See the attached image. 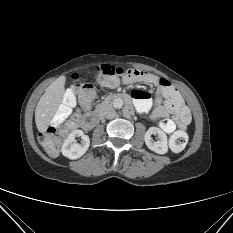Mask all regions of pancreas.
Here are the masks:
<instances>
[{
  "label": "pancreas",
  "mask_w": 233,
  "mask_h": 233,
  "mask_svg": "<svg viewBox=\"0 0 233 233\" xmlns=\"http://www.w3.org/2000/svg\"><path fill=\"white\" fill-rule=\"evenodd\" d=\"M109 102V98H106L105 101L97 105L95 112H103L108 107Z\"/></svg>",
  "instance_id": "cf45deb5"
}]
</instances>
